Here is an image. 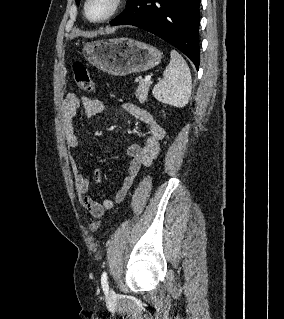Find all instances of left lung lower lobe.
Here are the masks:
<instances>
[{
    "label": "left lung lower lobe",
    "mask_w": 284,
    "mask_h": 319,
    "mask_svg": "<svg viewBox=\"0 0 284 319\" xmlns=\"http://www.w3.org/2000/svg\"><path fill=\"white\" fill-rule=\"evenodd\" d=\"M200 0H132L111 25H133L167 41L199 68Z\"/></svg>",
    "instance_id": "1"
}]
</instances>
